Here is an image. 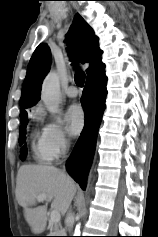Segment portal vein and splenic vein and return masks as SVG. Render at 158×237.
<instances>
[{
  "mask_svg": "<svg viewBox=\"0 0 158 237\" xmlns=\"http://www.w3.org/2000/svg\"><path fill=\"white\" fill-rule=\"evenodd\" d=\"M47 199V195L46 194H41L39 196H37V201L38 202H42L43 200ZM61 216L60 213L58 211H52L50 214V222L52 224H54L55 226L60 222Z\"/></svg>",
  "mask_w": 158,
  "mask_h": 237,
  "instance_id": "obj_1",
  "label": "portal vein and splenic vein"
}]
</instances>
